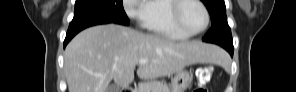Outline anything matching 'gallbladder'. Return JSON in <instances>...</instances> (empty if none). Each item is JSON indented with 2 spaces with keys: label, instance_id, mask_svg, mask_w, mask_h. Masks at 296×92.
Wrapping results in <instances>:
<instances>
[{
  "label": "gallbladder",
  "instance_id": "obj_1",
  "mask_svg": "<svg viewBox=\"0 0 296 92\" xmlns=\"http://www.w3.org/2000/svg\"><path fill=\"white\" fill-rule=\"evenodd\" d=\"M120 88L118 85H110L108 88H107V92H119Z\"/></svg>",
  "mask_w": 296,
  "mask_h": 92
}]
</instances>
